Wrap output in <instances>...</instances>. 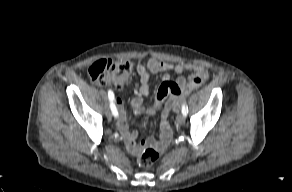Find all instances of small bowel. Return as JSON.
<instances>
[{
  "label": "small bowel",
  "mask_w": 292,
  "mask_h": 192,
  "mask_svg": "<svg viewBox=\"0 0 292 192\" xmlns=\"http://www.w3.org/2000/svg\"><path fill=\"white\" fill-rule=\"evenodd\" d=\"M136 71L139 75V92L141 95H147L150 89L151 76L157 73H164L162 82L158 85L157 97L155 102L145 108L141 97H136L132 100L131 106L136 114H140L146 110L149 113L160 111L158 125L161 128V137L158 142L155 140H147L137 143V132L131 131L127 123L126 115L123 109V104L120 99L116 103L120 111V117L117 120V127L124 139L127 150L134 155L139 154L144 147L148 145L165 148L172 136V130L168 122L170 112L176 110L180 104V97L187 91L192 90L202 85L208 79V71L205 66L200 64H172L160 61L156 58H150L146 63L138 61ZM169 71H174L177 74L183 72H192L188 77H178L176 81H171ZM166 104L163 106L164 101ZM144 126L148 125L147 121L143 122Z\"/></svg>",
  "instance_id": "c3829d8e"
}]
</instances>
